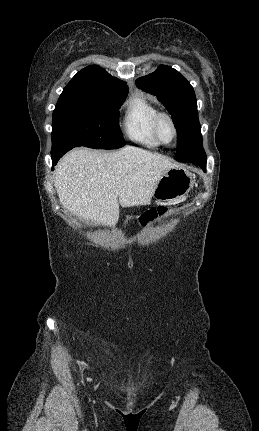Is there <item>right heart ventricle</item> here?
<instances>
[{"label":"right heart ventricle","instance_id":"e07e8e85","mask_svg":"<svg viewBox=\"0 0 259 431\" xmlns=\"http://www.w3.org/2000/svg\"><path fill=\"white\" fill-rule=\"evenodd\" d=\"M158 112L157 107L147 98H131L122 118L124 134L140 145L151 148L159 146L153 132V121Z\"/></svg>","mask_w":259,"mask_h":431}]
</instances>
